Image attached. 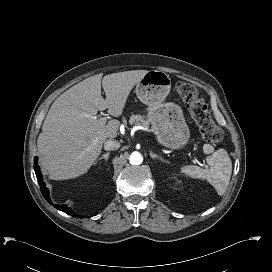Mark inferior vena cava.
<instances>
[{
  "instance_id": "602c4592",
  "label": "inferior vena cava",
  "mask_w": 272,
  "mask_h": 272,
  "mask_svg": "<svg viewBox=\"0 0 272 272\" xmlns=\"http://www.w3.org/2000/svg\"><path fill=\"white\" fill-rule=\"evenodd\" d=\"M120 147V143L117 140L108 139L104 143L105 150H117Z\"/></svg>"
}]
</instances>
